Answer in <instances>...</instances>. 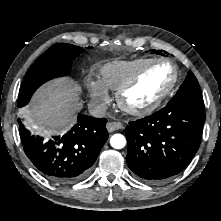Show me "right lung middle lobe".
<instances>
[{"label":"right lung middle lobe","mask_w":221,"mask_h":221,"mask_svg":"<svg viewBox=\"0 0 221 221\" xmlns=\"http://www.w3.org/2000/svg\"><path fill=\"white\" fill-rule=\"evenodd\" d=\"M83 48L59 43L51 46L42 54L26 73L19 90L18 107L25 106L36 89L55 77L67 76L72 61Z\"/></svg>","instance_id":"dd1d6c3e"}]
</instances>
